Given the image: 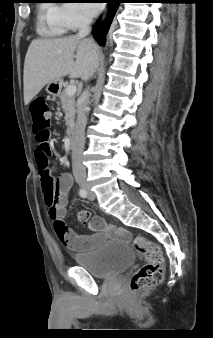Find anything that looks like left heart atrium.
<instances>
[{"label": "left heart atrium", "mask_w": 213, "mask_h": 338, "mask_svg": "<svg viewBox=\"0 0 213 338\" xmlns=\"http://www.w3.org/2000/svg\"><path fill=\"white\" fill-rule=\"evenodd\" d=\"M87 1L91 2L94 0ZM83 6L89 15H96L101 9L100 3H84Z\"/></svg>", "instance_id": "obj_1"}]
</instances>
